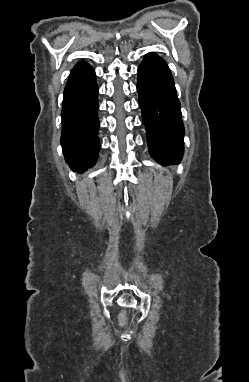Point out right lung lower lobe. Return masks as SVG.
I'll list each match as a JSON object with an SVG mask.
<instances>
[{
	"label": "right lung lower lobe",
	"mask_w": 249,
	"mask_h": 382,
	"mask_svg": "<svg viewBox=\"0 0 249 382\" xmlns=\"http://www.w3.org/2000/svg\"><path fill=\"white\" fill-rule=\"evenodd\" d=\"M98 86L93 68L81 62L71 71L64 90L61 144L73 171H86L99 153Z\"/></svg>",
	"instance_id": "right-lung-lower-lobe-1"
}]
</instances>
